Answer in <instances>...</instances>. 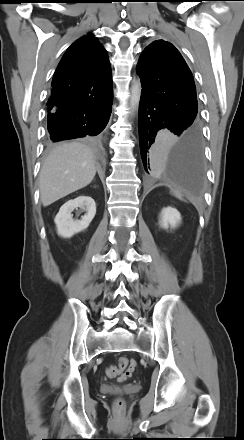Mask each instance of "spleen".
<instances>
[{
    "mask_svg": "<svg viewBox=\"0 0 244 440\" xmlns=\"http://www.w3.org/2000/svg\"><path fill=\"white\" fill-rule=\"evenodd\" d=\"M173 195L179 198L180 200H183L182 195L179 192L173 191Z\"/></svg>",
    "mask_w": 244,
    "mask_h": 440,
    "instance_id": "obj_1",
    "label": "spleen"
}]
</instances>
